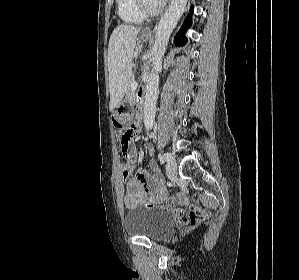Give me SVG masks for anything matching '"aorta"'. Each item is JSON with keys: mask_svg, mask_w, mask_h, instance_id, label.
Returning a JSON list of instances; mask_svg holds the SVG:
<instances>
[{"mask_svg": "<svg viewBox=\"0 0 299 280\" xmlns=\"http://www.w3.org/2000/svg\"><path fill=\"white\" fill-rule=\"evenodd\" d=\"M188 0H171L169 7L159 21L155 43L153 47L152 70L146 84L144 103V124L146 129H152L154 125L156 103L159 91V70L162 67V58L171 33L177 25L178 20L185 11Z\"/></svg>", "mask_w": 299, "mask_h": 280, "instance_id": "762f6f07", "label": "aorta"}]
</instances>
